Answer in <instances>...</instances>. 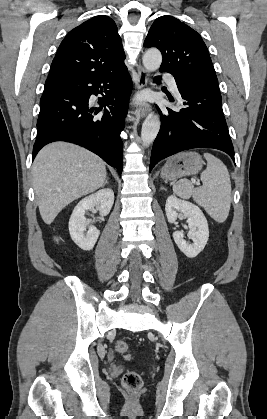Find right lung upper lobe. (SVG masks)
<instances>
[{
    "instance_id": "cb5924a9",
    "label": "right lung upper lobe",
    "mask_w": 267,
    "mask_h": 419,
    "mask_svg": "<svg viewBox=\"0 0 267 419\" xmlns=\"http://www.w3.org/2000/svg\"><path fill=\"white\" fill-rule=\"evenodd\" d=\"M125 53L115 22L93 17L71 30L53 59L48 80L105 75L124 65Z\"/></svg>"
}]
</instances>
